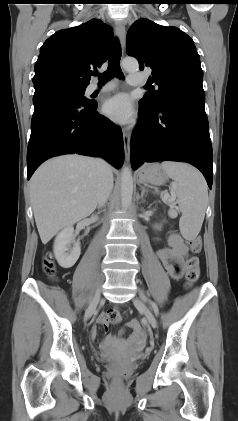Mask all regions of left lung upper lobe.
<instances>
[{
	"label": "left lung upper lobe",
	"mask_w": 238,
	"mask_h": 421,
	"mask_svg": "<svg viewBox=\"0 0 238 421\" xmlns=\"http://www.w3.org/2000/svg\"><path fill=\"white\" fill-rule=\"evenodd\" d=\"M127 54L135 57L140 70L152 69L150 89L139 101L141 108L155 110L169 95L201 88L203 71L194 41L176 27L158 25L146 18L135 21L127 33Z\"/></svg>",
	"instance_id": "obj_1"
}]
</instances>
